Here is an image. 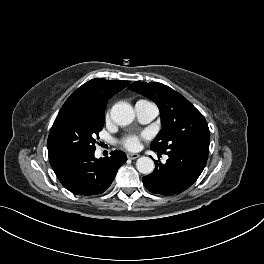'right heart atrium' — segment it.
I'll return each instance as SVG.
<instances>
[{
	"instance_id": "d8ad5b80",
	"label": "right heart atrium",
	"mask_w": 264,
	"mask_h": 264,
	"mask_svg": "<svg viewBox=\"0 0 264 264\" xmlns=\"http://www.w3.org/2000/svg\"><path fill=\"white\" fill-rule=\"evenodd\" d=\"M109 116H110V113H109V111H107V112H106V115H105L106 120L109 119Z\"/></svg>"
}]
</instances>
